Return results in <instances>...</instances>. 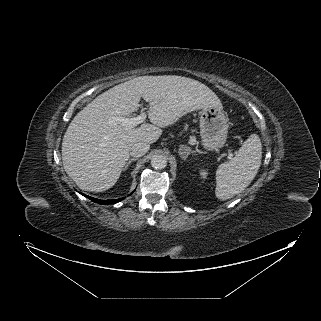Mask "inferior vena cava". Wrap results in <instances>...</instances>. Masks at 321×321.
Instances as JSON below:
<instances>
[{
	"mask_svg": "<svg viewBox=\"0 0 321 321\" xmlns=\"http://www.w3.org/2000/svg\"><path fill=\"white\" fill-rule=\"evenodd\" d=\"M150 148V145L146 142H136L129 148L130 154L133 157H141L145 155Z\"/></svg>",
	"mask_w": 321,
	"mask_h": 321,
	"instance_id": "1",
	"label": "inferior vena cava"
}]
</instances>
